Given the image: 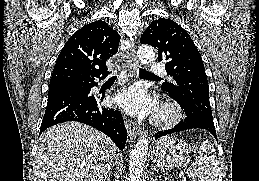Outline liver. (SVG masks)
I'll return each mask as SVG.
<instances>
[{
	"label": "liver",
	"instance_id": "obj_1",
	"mask_svg": "<svg viewBox=\"0 0 259 181\" xmlns=\"http://www.w3.org/2000/svg\"><path fill=\"white\" fill-rule=\"evenodd\" d=\"M116 150L108 136L79 122L50 127L39 138V181H104Z\"/></svg>",
	"mask_w": 259,
	"mask_h": 181
}]
</instances>
